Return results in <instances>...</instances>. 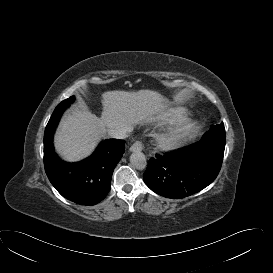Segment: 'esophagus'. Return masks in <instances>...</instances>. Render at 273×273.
<instances>
[{
	"instance_id": "34e87169",
	"label": "esophagus",
	"mask_w": 273,
	"mask_h": 273,
	"mask_svg": "<svg viewBox=\"0 0 273 273\" xmlns=\"http://www.w3.org/2000/svg\"><path fill=\"white\" fill-rule=\"evenodd\" d=\"M144 148V145L141 141H136L131 147L130 151L131 152H141Z\"/></svg>"
}]
</instances>
